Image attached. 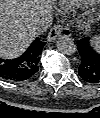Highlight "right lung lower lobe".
I'll return each instance as SVG.
<instances>
[{
  "instance_id": "1",
  "label": "right lung lower lobe",
  "mask_w": 100,
  "mask_h": 118,
  "mask_svg": "<svg viewBox=\"0 0 100 118\" xmlns=\"http://www.w3.org/2000/svg\"><path fill=\"white\" fill-rule=\"evenodd\" d=\"M45 42L36 38L27 51L16 59H0V77L10 81H24L39 69L38 63Z\"/></svg>"
}]
</instances>
